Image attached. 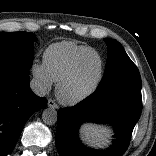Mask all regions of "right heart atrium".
<instances>
[{
    "instance_id": "right-heart-atrium-1",
    "label": "right heart atrium",
    "mask_w": 156,
    "mask_h": 156,
    "mask_svg": "<svg viewBox=\"0 0 156 156\" xmlns=\"http://www.w3.org/2000/svg\"><path fill=\"white\" fill-rule=\"evenodd\" d=\"M31 72H32L34 79L37 82L38 87L42 91L47 92L51 89L53 85V81L48 75L43 63L34 62L31 67Z\"/></svg>"
}]
</instances>
